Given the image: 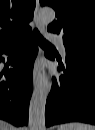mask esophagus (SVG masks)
Wrapping results in <instances>:
<instances>
[{
    "label": "esophagus",
    "instance_id": "obj_1",
    "mask_svg": "<svg viewBox=\"0 0 95 130\" xmlns=\"http://www.w3.org/2000/svg\"><path fill=\"white\" fill-rule=\"evenodd\" d=\"M38 14H39V1L37 0L36 1V7H35V10H34V22L36 24V27L41 31V32H44L45 30V26L44 24L39 20V17H38ZM42 51L40 50L39 51V56L41 55ZM43 71V68L40 67V66H36L35 69H34V74H33V83L34 85L37 84L38 80H39V77L41 75Z\"/></svg>",
    "mask_w": 95,
    "mask_h": 130
}]
</instances>
